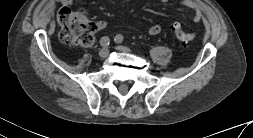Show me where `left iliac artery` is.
<instances>
[{
  "label": "left iliac artery",
  "instance_id": "left-iliac-artery-1",
  "mask_svg": "<svg viewBox=\"0 0 253 138\" xmlns=\"http://www.w3.org/2000/svg\"><path fill=\"white\" fill-rule=\"evenodd\" d=\"M123 40H124V37L122 36V35H117L116 37H115V39H114V41L116 42V43H122L123 42Z\"/></svg>",
  "mask_w": 253,
  "mask_h": 138
}]
</instances>
